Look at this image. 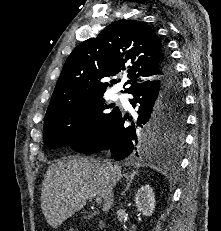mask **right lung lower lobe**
Here are the masks:
<instances>
[{
	"label": "right lung lower lobe",
	"instance_id": "98d812e1",
	"mask_svg": "<svg viewBox=\"0 0 221 231\" xmlns=\"http://www.w3.org/2000/svg\"><path fill=\"white\" fill-rule=\"evenodd\" d=\"M161 69L162 76L158 81L130 93L135 98L134 102L132 100L130 102L133 107L137 103L139 108L136 126L134 123L127 126L125 122L128 116L122 115L119 111L102 132L73 150L91 154L109 149L111 157L116 161L124 159L131 153L141 157H150L163 152L164 142L150 135L146 130L147 126L161 97H168L184 105L185 103L177 72L165 49ZM129 121H132V117H129Z\"/></svg>",
	"mask_w": 221,
	"mask_h": 231
}]
</instances>
